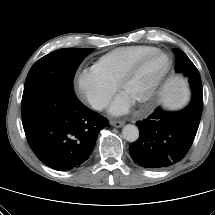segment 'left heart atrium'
Returning a JSON list of instances; mask_svg holds the SVG:
<instances>
[{"instance_id": "1", "label": "left heart atrium", "mask_w": 215, "mask_h": 215, "mask_svg": "<svg viewBox=\"0 0 215 215\" xmlns=\"http://www.w3.org/2000/svg\"><path fill=\"white\" fill-rule=\"evenodd\" d=\"M132 105H133V102L124 93H121L112 102L109 108V112L112 115H122L127 113L132 107Z\"/></svg>"}]
</instances>
